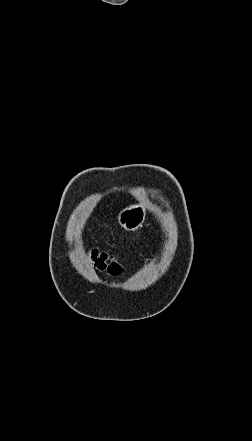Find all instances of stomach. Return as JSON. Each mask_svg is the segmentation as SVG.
<instances>
[{"mask_svg":"<svg viewBox=\"0 0 252 441\" xmlns=\"http://www.w3.org/2000/svg\"><path fill=\"white\" fill-rule=\"evenodd\" d=\"M146 217V208L144 205H130L123 209L118 215V223L128 231H135L142 227Z\"/></svg>","mask_w":252,"mask_h":441,"instance_id":"stomach-1","label":"stomach"}]
</instances>
